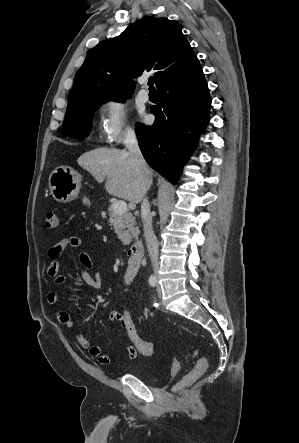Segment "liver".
<instances>
[{
    "mask_svg": "<svg viewBox=\"0 0 299 443\" xmlns=\"http://www.w3.org/2000/svg\"><path fill=\"white\" fill-rule=\"evenodd\" d=\"M77 163L97 181L102 182L105 179L108 194L132 203L142 200L143 190L139 172L128 151L96 148L83 153ZM149 172L152 180V171Z\"/></svg>",
    "mask_w": 299,
    "mask_h": 443,
    "instance_id": "obj_1",
    "label": "liver"
}]
</instances>
